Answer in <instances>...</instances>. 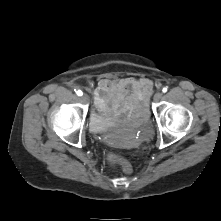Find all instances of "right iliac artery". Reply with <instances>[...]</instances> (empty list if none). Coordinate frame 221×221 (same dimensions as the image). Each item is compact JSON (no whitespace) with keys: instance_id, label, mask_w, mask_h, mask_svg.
Wrapping results in <instances>:
<instances>
[{"instance_id":"obj_1","label":"right iliac artery","mask_w":221,"mask_h":221,"mask_svg":"<svg viewBox=\"0 0 221 221\" xmlns=\"http://www.w3.org/2000/svg\"><path fill=\"white\" fill-rule=\"evenodd\" d=\"M76 93L78 96H82V94H83L81 90H78Z\"/></svg>"}]
</instances>
